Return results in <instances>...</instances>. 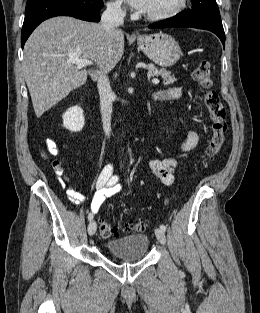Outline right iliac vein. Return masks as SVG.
<instances>
[{
  "instance_id": "63e3f726",
  "label": "right iliac vein",
  "mask_w": 260,
  "mask_h": 313,
  "mask_svg": "<svg viewBox=\"0 0 260 313\" xmlns=\"http://www.w3.org/2000/svg\"><path fill=\"white\" fill-rule=\"evenodd\" d=\"M96 228H97L96 222L95 221H91L89 223V225H88V233H89L90 236L95 234Z\"/></svg>"
}]
</instances>
